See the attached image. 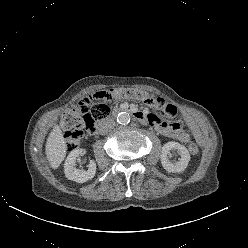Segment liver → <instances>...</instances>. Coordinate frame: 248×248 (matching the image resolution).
I'll list each match as a JSON object with an SVG mask.
<instances>
[{"label": "liver", "mask_w": 248, "mask_h": 248, "mask_svg": "<svg viewBox=\"0 0 248 248\" xmlns=\"http://www.w3.org/2000/svg\"><path fill=\"white\" fill-rule=\"evenodd\" d=\"M66 142L58 126L49 133L45 145L46 158L53 169H57L66 156Z\"/></svg>", "instance_id": "6515ba94"}]
</instances>
